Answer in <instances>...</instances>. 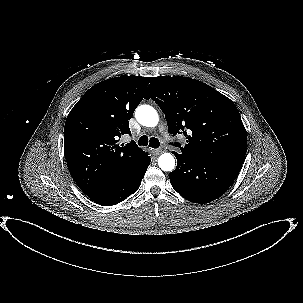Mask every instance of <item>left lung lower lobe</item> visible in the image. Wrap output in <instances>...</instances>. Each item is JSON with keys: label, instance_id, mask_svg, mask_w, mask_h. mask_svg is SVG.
<instances>
[{"label": "left lung lower lobe", "instance_id": "obj_1", "mask_svg": "<svg viewBox=\"0 0 303 303\" xmlns=\"http://www.w3.org/2000/svg\"><path fill=\"white\" fill-rule=\"evenodd\" d=\"M173 153L177 167L169 174L171 185L193 203H208L224 194L242 166L235 161L196 159Z\"/></svg>", "mask_w": 303, "mask_h": 303}]
</instances>
